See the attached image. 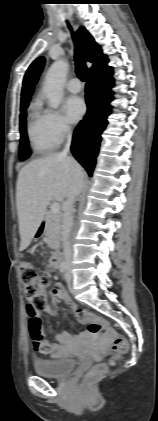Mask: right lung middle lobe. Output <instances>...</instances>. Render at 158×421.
<instances>
[{"label":"right lung middle lobe","instance_id":"1","mask_svg":"<svg viewBox=\"0 0 158 421\" xmlns=\"http://www.w3.org/2000/svg\"><path fill=\"white\" fill-rule=\"evenodd\" d=\"M28 107V104L21 105L20 108V133H21V139H20V150H19V158L20 160H25L30 156V150H29V142L28 137L26 133V108Z\"/></svg>","mask_w":158,"mask_h":421}]
</instances>
